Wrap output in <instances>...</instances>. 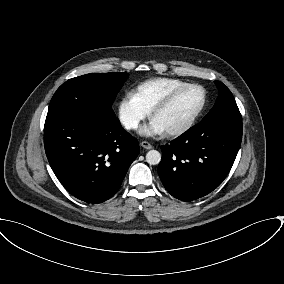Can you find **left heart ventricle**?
Here are the masks:
<instances>
[{
  "instance_id": "1",
  "label": "left heart ventricle",
  "mask_w": 284,
  "mask_h": 284,
  "mask_svg": "<svg viewBox=\"0 0 284 284\" xmlns=\"http://www.w3.org/2000/svg\"><path fill=\"white\" fill-rule=\"evenodd\" d=\"M203 93L199 88H189L182 92L165 110L158 113L153 121L163 130L180 126L186 122L198 109Z\"/></svg>"
}]
</instances>
